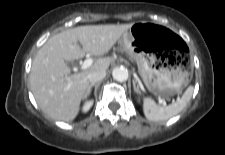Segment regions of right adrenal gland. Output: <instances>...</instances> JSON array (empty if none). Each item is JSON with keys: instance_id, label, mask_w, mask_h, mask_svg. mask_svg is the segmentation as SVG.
Listing matches in <instances>:
<instances>
[{"instance_id": "right-adrenal-gland-1", "label": "right adrenal gland", "mask_w": 225, "mask_h": 155, "mask_svg": "<svg viewBox=\"0 0 225 155\" xmlns=\"http://www.w3.org/2000/svg\"><path fill=\"white\" fill-rule=\"evenodd\" d=\"M93 86H95V84H90V85H89V87H88V89H87V92H86V97L90 94L91 89H92Z\"/></svg>"}]
</instances>
